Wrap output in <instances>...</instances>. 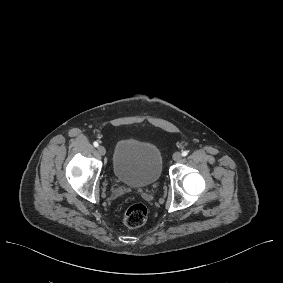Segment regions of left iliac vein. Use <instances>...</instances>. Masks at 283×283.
<instances>
[{"instance_id": "obj_1", "label": "left iliac vein", "mask_w": 283, "mask_h": 283, "mask_svg": "<svg viewBox=\"0 0 283 283\" xmlns=\"http://www.w3.org/2000/svg\"><path fill=\"white\" fill-rule=\"evenodd\" d=\"M182 157V154L180 152H175L174 155H173V159L175 161H179Z\"/></svg>"}]
</instances>
